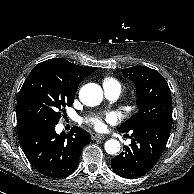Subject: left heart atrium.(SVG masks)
Masks as SVG:
<instances>
[{"label":"left heart atrium","mask_w":194,"mask_h":194,"mask_svg":"<svg viewBox=\"0 0 194 194\" xmlns=\"http://www.w3.org/2000/svg\"><path fill=\"white\" fill-rule=\"evenodd\" d=\"M107 118L109 120H113V117L111 115H108ZM91 124L97 128V129H101L103 128V121L101 119V117H93L91 120H90Z\"/></svg>","instance_id":"obj_1"}]
</instances>
